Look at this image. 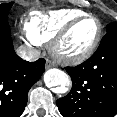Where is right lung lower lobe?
Instances as JSON below:
<instances>
[{
	"label": "right lung lower lobe",
	"instance_id": "right-lung-lower-lobe-1",
	"mask_svg": "<svg viewBox=\"0 0 117 117\" xmlns=\"http://www.w3.org/2000/svg\"><path fill=\"white\" fill-rule=\"evenodd\" d=\"M45 70V60L28 62L14 51L7 16H0V117H19L30 88Z\"/></svg>",
	"mask_w": 117,
	"mask_h": 117
}]
</instances>
